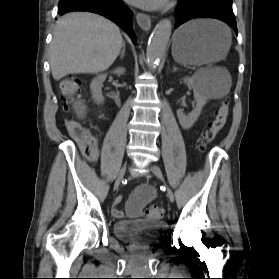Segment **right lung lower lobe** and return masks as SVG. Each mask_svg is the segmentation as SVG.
Here are the masks:
<instances>
[{
    "instance_id": "right-lung-lower-lobe-1",
    "label": "right lung lower lobe",
    "mask_w": 279,
    "mask_h": 279,
    "mask_svg": "<svg viewBox=\"0 0 279 279\" xmlns=\"http://www.w3.org/2000/svg\"><path fill=\"white\" fill-rule=\"evenodd\" d=\"M71 11H89L109 18L121 26L136 41L132 27V12L122 0H60L58 14L63 15Z\"/></svg>"
}]
</instances>
